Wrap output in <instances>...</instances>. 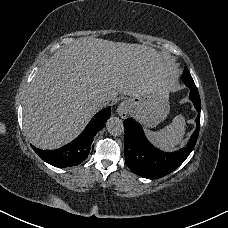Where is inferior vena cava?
<instances>
[{"instance_id":"obj_1","label":"inferior vena cava","mask_w":228,"mask_h":228,"mask_svg":"<svg viewBox=\"0 0 228 228\" xmlns=\"http://www.w3.org/2000/svg\"><path fill=\"white\" fill-rule=\"evenodd\" d=\"M89 97L91 98L92 105L96 109V111L107 107L112 101V98H108L106 96L95 98L92 94H89Z\"/></svg>"}]
</instances>
